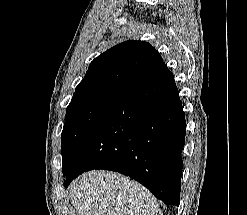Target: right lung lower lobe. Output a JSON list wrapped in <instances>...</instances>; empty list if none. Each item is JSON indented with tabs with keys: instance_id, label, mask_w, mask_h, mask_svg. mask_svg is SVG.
<instances>
[{
	"instance_id": "obj_1",
	"label": "right lung lower lobe",
	"mask_w": 247,
	"mask_h": 215,
	"mask_svg": "<svg viewBox=\"0 0 247 215\" xmlns=\"http://www.w3.org/2000/svg\"><path fill=\"white\" fill-rule=\"evenodd\" d=\"M185 133L178 89L162 63L81 137L65 187L85 171L106 169L133 178L165 204L178 206Z\"/></svg>"
}]
</instances>
